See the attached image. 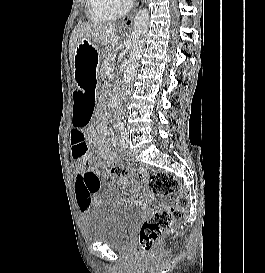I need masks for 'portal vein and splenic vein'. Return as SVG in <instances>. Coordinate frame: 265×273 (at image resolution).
<instances>
[{
  "mask_svg": "<svg viewBox=\"0 0 265 273\" xmlns=\"http://www.w3.org/2000/svg\"><path fill=\"white\" fill-rule=\"evenodd\" d=\"M114 71V68L110 67L108 68V70L106 71V74H110Z\"/></svg>",
  "mask_w": 265,
  "mask_h": 273,
  "instance_id": "1",
  "label": "portal vein and splenic vein"
}]
</instances>
